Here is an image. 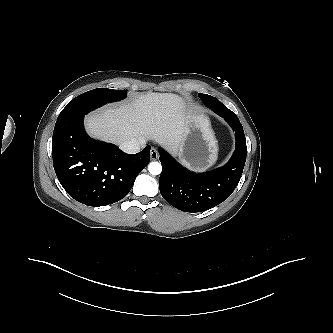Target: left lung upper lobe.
<instances>
[{
	"instance_id": "1",
	"label": "left lung upper lobe",
	"mask_w": 333,
	"mask_h": 333,
	"mask_svg": "<svg viewBox=\"0 0 333 333\" xmlns=\"http://www.w3.org/2000/svg\"><path fill=\"white\" fill-rule=\"evenodd\" d=\"M199 98L203 101L204 99H207L210 97V95H207V94H202V93H199L198 94ZM204 103V102H203Z\"/></svg>"
}]
</instances>
